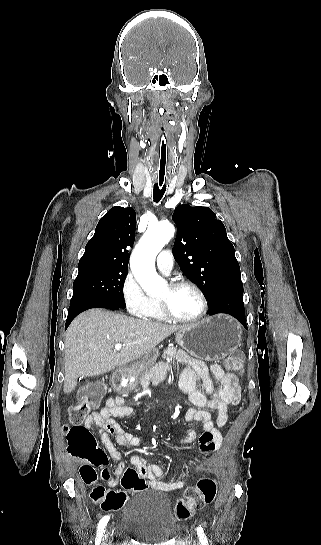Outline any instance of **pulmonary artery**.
<instances>
[{"mask_svg":"<svg viewBox=\"0 0 321 545\" xmlns=\"http://www.w3.org/2000/svg\"><path fill=\"white\" fill-rule=\"evenodd\" d=\"M167 253L168 250H162L157 255V266L165 274L169 273L174 265L173 258Z\"/></svg>","mask_w":321,"mask_h":545,"instance_id":"pulmonary-artery-1","label":"pulmonary artery"}]
</instances>
